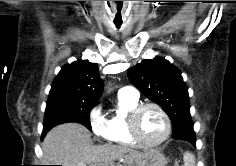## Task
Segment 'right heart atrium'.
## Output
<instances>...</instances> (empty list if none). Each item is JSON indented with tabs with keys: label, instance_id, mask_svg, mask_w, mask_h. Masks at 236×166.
<instances>
[{
	"label": "right heart atrium",
	"instance_id": "d8ad5b80",
	"mask_svg": "<svg viewBox=\"0 0 236 166\" xmlns=\"http://www.w3.org/2000/svg\"><path fill=\"white\" fill-rule=\"evenodd\" d=\"M89 126L97 138L108 139V120L101 104L94 105L88 114Z\"/></svg>",
	"mask_w": 236,
	"mask_h": 166
}]
</instances>
